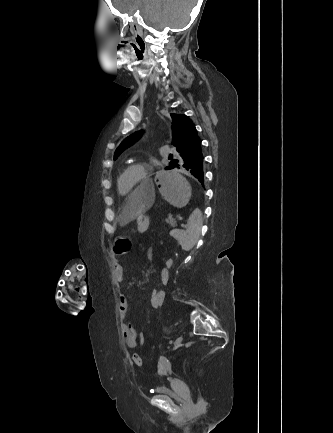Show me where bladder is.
<instances>
[{
  "label": "bladder",
  "mask_w": 333,
  "mask_h": 433,
  "mask_svg": "<svg viewBox=\"0 0 333 433\" xmlns=\"http://www.w3.org/2000/svg\"><path fill=\"white\" fill-rule=\"evenodd\" d=\"M153 390L155 394L167 397L175 402H181L184 400V396L174 392L170 387L165 384L155 386Z\"/></svg>",
  "instance_id": "obj_1"
}]
</instances>
